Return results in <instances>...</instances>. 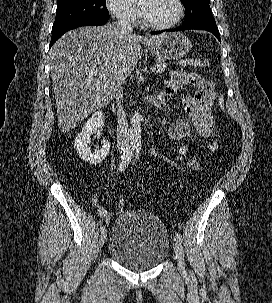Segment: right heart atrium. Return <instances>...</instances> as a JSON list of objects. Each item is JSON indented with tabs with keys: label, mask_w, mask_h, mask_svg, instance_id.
I'll list each match as a JSON object with an SVG mask.
<instances>
[{
	"label": "right heart atrium",
	"mask_w": 272,
	"mask_h": 303,
	"mask_svg": "<svg viewBox=\"0 0 272 303\" xmlns=\"http://www.w3.org/2000/svg\"><path fill=\"white\" fill-rule=\"evenodd\" d=\"M110 13L120 22L134 24L138 19V10L130 0H105Z\"/></svg>",
	"instance_id": "d8ad5b80"
}]
</instances>
